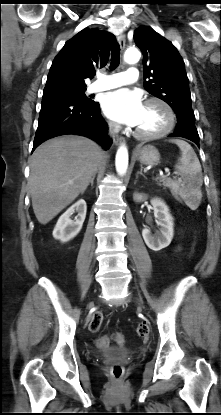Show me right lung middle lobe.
I'll return each instance as SVG.
<instances>
[{
	"label": "right lung middle lobe",
	"mask_w": 221,
	"mask_h": 415,
	"mask_svg": "<svg viewBox=\"0 0 221 415\" xmlns=\"http://www.w3.org/2000/svg\"><path fill=\"white\" fill-rule=\"evenodd\" d=\"M85 91H86V88L65 90V91H59V92H54V93L44 95L43 98L62 97V98H70L73 100L83 101V102L93 101L85 95Z\"/></svg>",
	"instance_id": "obj_1"
}]
</instances>
